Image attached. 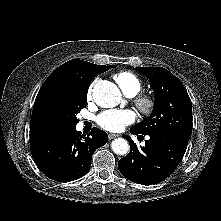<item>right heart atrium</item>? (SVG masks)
<instances>
[{"mask_svg":"<svg viewBox=\"0 0 221 221\" xmlns=\"http://www.w3.org/2000/svg\"><path fill=\"white\" fill-rule=\"evenodd\" d=\"M95 83H96V81H94V82L90 85V87H89V89H88V92H87V97H88V98H91L92 95H93V89H94Z\"/></svg>","mask_w":221,"mask_h":221,"instance_id":"1","label":"right heart atrium"}]
</instances>
